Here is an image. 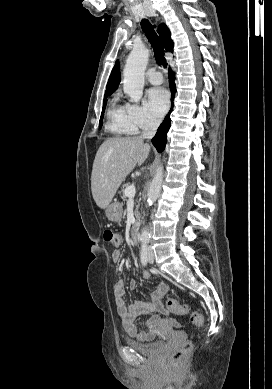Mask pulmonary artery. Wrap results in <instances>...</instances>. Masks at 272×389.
<instances>
[{
    "label": "pulmonary artery",
    "instance_id": "obj_1",
    "mask_svg": "<svg viewBox=\"0 0 272 389\" xmlns=\"http://www.w3.org/2000/svg\"><path fill=\"white\" fill-rule=\"evenodd\" d=\"M147 79H148L149 83H151L153 85H159L163 81V77H162L161 73L157 72V71L150 72Z\"/></svg>",
    "mask_w": 272,
    "mask_h": 389
}]
</instances>
